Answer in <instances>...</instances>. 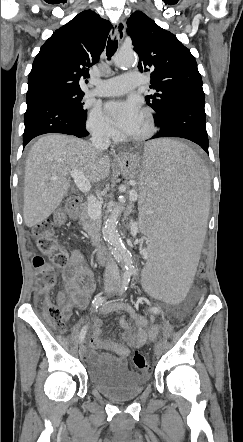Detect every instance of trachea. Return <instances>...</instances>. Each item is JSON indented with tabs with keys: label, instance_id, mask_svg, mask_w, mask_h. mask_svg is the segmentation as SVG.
<instances>
[{
	"label": "trachea",
	"instance_id": "trachea-1",
	"mask_svg": "<svg viewBox=\"0 0 243 442\" xmlns=\"http://www.w3.org/2000/svg\"><path fill=\"white\" fill-rule=\"evenodd\" d=\"M118 47V41L117 40H111L108 39L107 47H106V55L108 60L111 59V57L115 54Z\"/></svg>",
	"mask_w": 243,
	"mask_h": 442
}]
</instances>
